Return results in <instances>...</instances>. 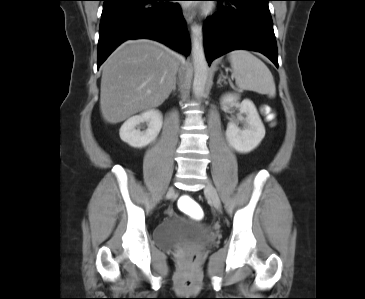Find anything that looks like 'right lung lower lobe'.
I'll return each mask as SVG.
<instances>
[{
	"instance_id": "1",
	"label": "right lung lower lobe",
	"mask_w": 365,
	"mask_h": 299,
	"mask_svg": "<svg viewBox=\"0 0 365 299\" xmlns=\"http://www.w3.org/2000/svg\"><path fill=\"white\" fill-rule=\"evenodd\" d=\"M97 67L128 39L149 38L190 52L181 8L172 0H103Z\"/></svg>"
}]
</instances>
